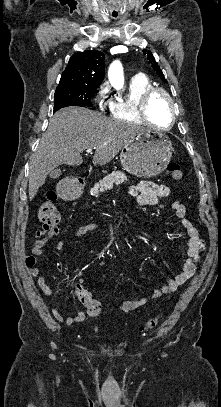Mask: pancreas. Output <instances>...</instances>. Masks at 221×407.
I'll use <instances>...</instances> for the list:
<instances>
[{"label": "pancreas", "mask_w": 221, "mask_h": 407, "mask_svg": "<svg viewBox=\"0 0 221 407\" xmlns=\"http://www.w3.org/2000/svg\"><path fill=\"white\" fill-rule=\"evenodd\" d=\"M126 181H128V178L125 173L121 171H113L100 180L99 183H96L91 189V193L95 197H99L102 193L112 189L114 185H119Z\"/></svg>", "instance_id": "cf45deb5"}]
</instances>
